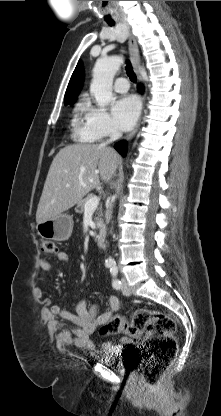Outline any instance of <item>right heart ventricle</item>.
Instances as JSON below:
<instances>
[{"label": "right heart ventricle", "mask_w": 221, "mask_h": 416, "mask_svg": "<svg viewBox=\"0 0 221 416\" xmlns=\"http://www.w3.org/2000/svg\"><path fill=\"white\" fill-rule=\"evenodd\" d=\"M83 111H84V104L78 103L75 107V117H74V123L76 126V137L79 138L81 141L89 142L91 141V139L84 135V133L82 132V128L79 126V115L83 113Z\"/></svg>", "instance_id": "right-heart-ventricle-1"}]
</instances>
